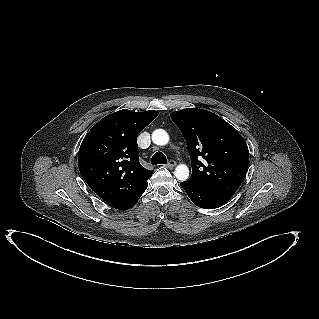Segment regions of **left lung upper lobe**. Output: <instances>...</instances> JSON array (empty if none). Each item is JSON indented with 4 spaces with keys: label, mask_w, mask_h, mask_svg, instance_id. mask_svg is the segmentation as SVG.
<instances>
[{
    "label": "left lung upper lobe",
    "mask_w": 319,
    "mask_h": 319,
    "mask_svg": "<svg viewBox=\"0 0 319 319\" xmlns=\"http://www.w3.org/2000/svg\"><path fill=\"white\" fill-rule=\"evenodd\" d=\"M186 139L192 161L188 182L232 197L245 178L249 150L234 127L218 115L187 108L171 114ZM203 158V163L198 159Z\"/></svg>",
    "instance_id": "left-lung-upper-lobe-1"
}]
</instances>
